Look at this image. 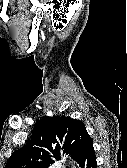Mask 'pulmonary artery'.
<instances>
[{
    "label": "pulmonary artery",
    "mask_w": 127,
    "mask_h": 168,
    "mask_svg": "<svg viewBox=\"0 0 127 168\" xmlns=\"http://www.w3.org/2000/svg\"><path fill=\"white\" fill-rule=\"evenodd\" d=\"M55 168H60V166H55Z\"/></svg>",
    "instance_id": "pulmonary-artery-1"
}]
</instances>
